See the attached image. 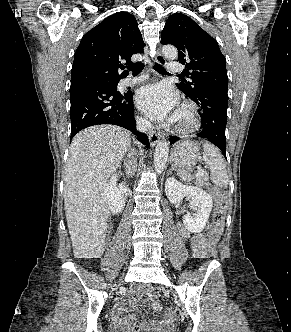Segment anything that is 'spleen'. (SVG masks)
<instances>
[{
  "mask_svg": "<svg viewBox=\"0 0 291 332\" xmlns=\"http://www.w3.org/2000/svg\"><path fill=\"white\" fill-rule=\"evenodd\" d=\"M203 160L210 167V178L211 181L220 187L228 186V174L226 170V165L220 151L209 142L203 143ZM178 176L182 180H191V174L186 170H180Z\"/></svg>",
  "mask_w": 291,
  "mask_h": 332,
  "instance_id": "1",
  "label": "spleen"
}]
</instances>
